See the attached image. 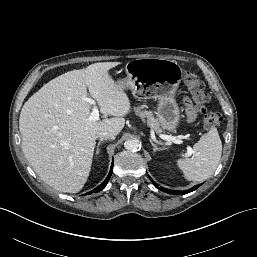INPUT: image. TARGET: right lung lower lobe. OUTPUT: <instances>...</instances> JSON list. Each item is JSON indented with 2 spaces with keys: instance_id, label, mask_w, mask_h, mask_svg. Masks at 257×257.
I'll use <instances>...</instances> for the list:
<instances>
[{
  "instance_id": "1",
  "label": "right lung lower lobe",
  "mask_w": 257,
  "mask_h": 257,
  "mask_svg": "<svg viewBox=\"0 0 257 257\" xmlns=\"http://www.w3.org/2000/svg\"><path fill=\"white\" fill-rule=\"evenodd\" d=\"M112 169H113V164L111 166L110 172H109L107 178L105 179V181L102 184H100L98 187H96L95 189H93L92 191H90L84 195H88V194L95 193V192L97 193V192H100L102 189H104V187L106 186V184L108 183V181L110 179V176L112 174Z\"/></svg>"
}]
</instances>
